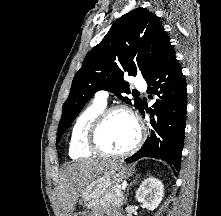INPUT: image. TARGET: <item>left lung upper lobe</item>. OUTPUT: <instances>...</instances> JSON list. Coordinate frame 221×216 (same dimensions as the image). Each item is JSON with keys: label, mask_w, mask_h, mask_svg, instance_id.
Returning a JSON list of instances; mask_svg holds the SVG:
<instances>
[{"label": "left lung upper lobe", "mask_w": 221, "mask_h": 216, "mask_svg": "<svg viewBox=\"0 0 221 216\" xmlns=\"http://www.w3.org/2000/svg\"><path fill=\"white\" fill-rule=\"evenodd\" d=\"M168 42L159 18L145 8H137L117 19L75 74L69 97L63 105L56 141L59 142L87 101L99 90L113 92L131 104V100L122 95L130 93L123 76L140 73L145 78ZM134 106L140 110L143 103L136 98Z\"/></svg>", "instance_id": "obj_1"}]
</instances>
